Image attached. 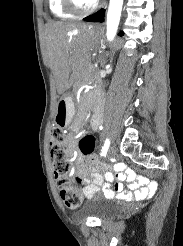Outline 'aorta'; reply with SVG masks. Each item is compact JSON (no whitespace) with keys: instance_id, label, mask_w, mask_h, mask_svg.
<instances>
[{"instance_id":"aorta-1","label":"aorta","mask_w":183,"mask_h":246,"mask_svg":"<svg viewBox=\"0 0 183 246\" xmlns=\"http://www.w3.org/2000/svg\"><path fill=\"white\" fill-rule=\"evenodd\" d=\"M123 0H110L107 12L106 35L108 41H112L117 34Z\"/></svg>"}]
</instances>
